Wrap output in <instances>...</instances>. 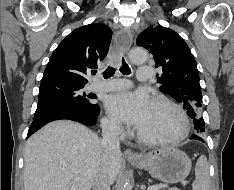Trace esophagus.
<instances>
[{"mask_svg": "<svg viewBox=\"0 0 234 190\" xmlns=\"http://www.w3.org/2000/svg\"><path fill=\"white\" fill-rule=\"evenodd\" d=\"M117 44L123 53H126L132 44V34L128 29H122L117 34ZM124 155L128 159H139V156L131 149H126Z\"/></svg>", "mask_w": 234, "mask_h": 190, "instance_id": "1", "label": "esophagus"}]
</instances>
